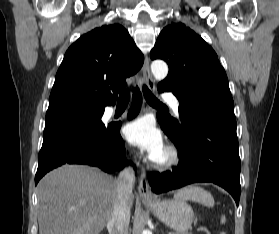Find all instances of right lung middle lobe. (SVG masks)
Returning <instances> with one entry per match:
<instances>
[{
	"label": "right lung middle lobe",
	"mask_w": 279,
	"mask_h": 234,
	"mask_svg": "<svg viewBox=\"0 0 279 234\" xmlns=\"http://www.w3.org/2000/svg\"><path fill=\"white\" fill-rule=\"evenodd\" d=\"M104 108H94L77 105L60 106L48 109L45 129L67 124L101 125Z\"/></svg>",
	"instance_id": "obj_1"
}]
</instances>
